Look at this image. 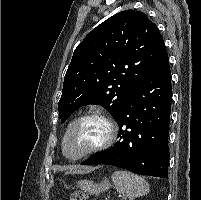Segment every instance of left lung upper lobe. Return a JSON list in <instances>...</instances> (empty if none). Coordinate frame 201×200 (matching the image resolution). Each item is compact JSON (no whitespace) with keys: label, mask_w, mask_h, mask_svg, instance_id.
<instances>
[{"label":"left lung upper lobe","mask_w":201,"mask_h":200,"mask_svg":"<svg viewBox=\"0 0 201 200\" xmlns=\"http://www.w3.org/2000/svg\"><path fill=\"white\" fill-rule=\"evenodd\" d=\"M164 54L163 38L146 14L125 10L113 15L88 33L73 53L58 103L61 122L87 104L103 106L116 119Z\"/></svg>","instance_id":"1"}]
</instances>
